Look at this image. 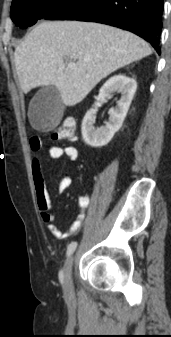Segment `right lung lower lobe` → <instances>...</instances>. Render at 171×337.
Returning a JSON list of instances; mask_svg holds the SVG:
<instances>
[{
  "instance_id": "right-lung-lower-lobe-1",
  "label": "right lung lower lobe",
  "mask_w": 171,
  "mask_h": 337,
  "mask_svg": "<svg viewBox=\"0 0 171 337\" xmlns=\"http://www.w3.org/2000/svg\"><path fill=\"white\" fill-rule=\"evenodd\" d=\"M163 0H69L47 20L104 23L131 31L160 54Z\"/></svg>"
}]
</instances>
